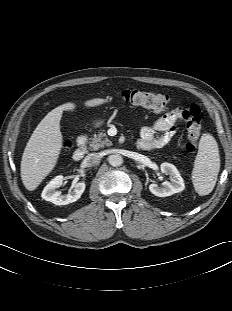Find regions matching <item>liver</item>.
<instances>
[{
	"label": "liver",
	"mask_w": 232,
	"mask_h": 311,
	"mask_svg": "<svg viewBox=\"0 0 232 311\" xmlns=\"http://www.w3.org/2000/svg\"><path fill=\"white\" fill-rule=\"evenodd\" d=\"M103 98L85 102L86 107H96L106 103ZM75 104L67 102L50 111L32 133L22 156L21 179L25 188L35 190L54 169L62 148L60 120L63 111H73Z\"/></svg>",
	"instance_id": "6515ba94"
}]
</instances>
